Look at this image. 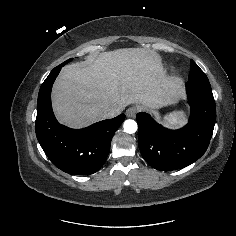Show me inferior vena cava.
I'll use <instances>...</instances> for the list:
<instances>
[{"label":"inferior vena cava","mask_w":236,"mask_h":236,"mask_svg":"<svg viewBox=\"0 0 236 236\" xmlns=\"http://www.w3.org/2000/svg\"><path fill=\"white\" fill-rule=\"evenodd\" d=\"M122 109L120 108H115V109H110L108 111H106L104 114H103V117L105 119H108V118H113L115 116H117L118 114H120Z\"/></svg>","instance_id":"1"}]
</instances>
